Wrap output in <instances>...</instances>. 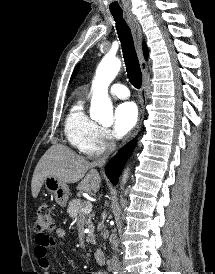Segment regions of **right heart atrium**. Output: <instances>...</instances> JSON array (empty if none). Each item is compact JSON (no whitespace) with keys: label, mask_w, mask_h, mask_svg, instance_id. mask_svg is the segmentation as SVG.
Here are the masks:
<instances>
[{"label":"right heart atrium","mask_w":215,"mask_h":274,"mask_svg":"<svg viewBox=\"0 0 215 274\" xmlns=\"http://www.w3.org/2000/svg\"><path fill=\"white\" fill-rule=\"evenodd\" d=\"M114 147V140L110 130L98 126L90 137L84 153L89 156L101 155Z\"/></svg>","instance_id":"right-heart-atrium-1"}]
</instances>
